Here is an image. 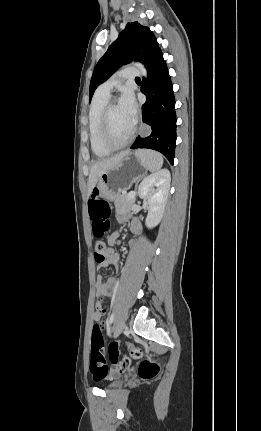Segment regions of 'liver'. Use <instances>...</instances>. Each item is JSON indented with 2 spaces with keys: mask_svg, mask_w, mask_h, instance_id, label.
<instances>
[{
  "mask_svg": "<svg viewBox=\"0 0 261 431\" xmlns=\"http://www.w3.org/2000/svg\"><path fill=\"white\" fill-rule=\"evenodd\" d=\"M128 153L129 151H123L113 157L98 161L93 164L88 180V197L92 194V191L98 183L100 176L108 170L116 167Z\"/></svg>",
  "mask_w": 261,
  "mask_h": 431,
  "instance_id": "6515ba94",
  "label": "liver"
}]
</instances>
